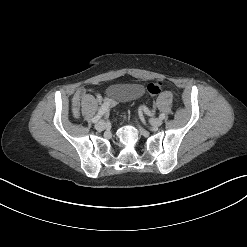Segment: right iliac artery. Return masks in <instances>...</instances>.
<instances>
[{"mask_svg": "<svg viewBox=\"0 0 247 247\" xmlns=\"http://www.w3.org/2000/svg\"><path fill=\"white\" fill-rule=\"evenodd\" d=\"M112 104L111 100H107L106 102H104V104L101 106V108L98 111V114L92 118V122L93 123H97L99 121V119L109 111V106Z\"/></svg>", "mask_w": 247, "mask_h": 247, "instance_id": "obj_1", "label": "right iliac artery"}]
</instances>
